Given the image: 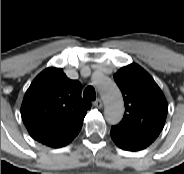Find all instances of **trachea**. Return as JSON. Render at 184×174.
<instances>
[{"instance_id":"3493384b","label":"trachea","mask_w":184,"mask_h":174,"mask_svg":"<svg viewBox=\"0 0 184 174\" xmlns=\"http://www.w3.org/2000/svg\"><path fill=\"white\" fill-rule=\"evenodd\" d=\"M83 97L87 100L94 101L96 99V93L93 86H88L84 92Z\"/></svg>"}]
</instances>
